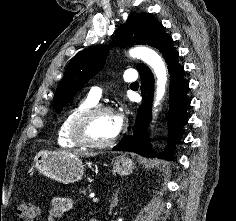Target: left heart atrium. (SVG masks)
<instances>
[{
  "mask_svg": "<svg viewBox=\"0 0 236 221\" xmlns=\"http://www.w3.org/2000/svg\"><path fill=\"white\" fill-rule=\"evenodd\" d=\"M113 118H114L116 131L117 133H119L126 124V121H127L126 113L124 111H119L113 114Z\"/></svg>",
  "mask_w": 236,
  "mask_h": 221,
  "instance_id": "39dd6f15",
  "label": "left heart atrium"
}]
</instances>
